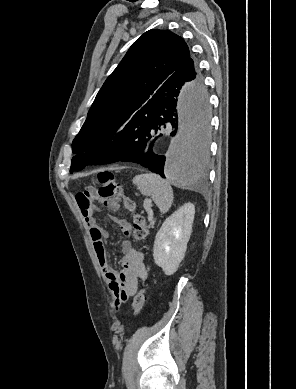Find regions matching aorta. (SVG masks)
<instances>
[{"mask_svg": "<svg viewBox=\"0 0 296 389\" xmlns=\"http://www.w3.org/2000/svg\"><path fill=\"white\" fill-rule=\"evenodd\" d=\"M179 129L167 157L166 176L188 187L211 161L210 93L204 81H183L177 93Z\"/></svg>", "mask_w": 296, "mask_h": 389, "instance_id": "762f6f07", "label": "aorta"}]
</instances>
